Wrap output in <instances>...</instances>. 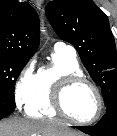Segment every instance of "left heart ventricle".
<instances>
[{
    "mask_svg": "<svg viewBox=\"0 0 117 136\" xmlns=\"http://www.w3.org/2000/svg\"><path fill=\"white\" fill-rule=\"evenodd\" d=\"M69 113L80 120H88L97 112V98L94 91L87 85L75 87L67 97Z\"/></svg>",
    "mask_w": 117,
    "mask_h": 136,
    "instance_id": "b2bd125f",
    "label": "left heart ventricle"
}]
</instances>
